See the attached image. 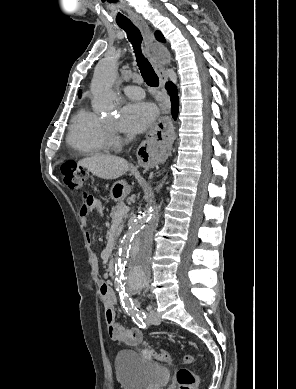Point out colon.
I'll use <instances>...</instances> for the list:
<instances>
[{"mask_svg": "<svg viewBox=\"0 0 296 389\" xmlns=\"http://www.w3.org/2000/svg\"><path fill=\"white\" fill-rule=\"evenodd\" d=\"M61 171L64 177V183L70 189H81L86 180V172L80 168L75 162H66L62 165ZM145 357H155L160 361L169 362L170 354L166 350L154 352L151 349H144ZM183 362L187 365L194 364L196 359L193 355L186 354L183 356ZM177 383L179 389H196L198 384V375L196 371L189 368H180L177 371Z\"/></svg>", "mask_w": 296, "mask_h": 389, "instance_id": "obj_1", "label": "colon"}]
</instances>
